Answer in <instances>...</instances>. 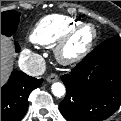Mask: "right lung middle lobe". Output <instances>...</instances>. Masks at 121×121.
Instances as JSON below:
<instances>
[{"instance_id":"dd1d6c3e","label":"right lung middle lobe","mask_w":121,"mask_h":121,"mask_svg":"<svg viewBox=\"0 0 121 121\" xmlns=\"http://www.w3.org/2000/svg\"><path fill=\"white\" fill-rule=\"evenodd\" d=\"M20 12L15 10L1 13V34L11 36L17 30L19 24Z\"/></svg>"}]
</instances>
